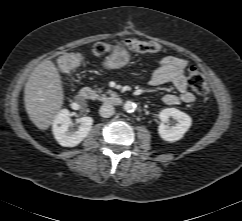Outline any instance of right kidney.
<instances>
[{
  "label": "right kidney",
  "mask_w": 242,
  "mask_h": 221,
  "mask_svg": "<svg viewBox=\"0 0 242 221\" xmlns=\"http://www.w3.org/2000/svg\"><path fill=\"white\" fill-rule=\"evenodd\" d=\"M79 123L77 130L72 131L69 127L72 124L70 113L67 109L59 111L53 120V134L57 142L64 147L77 146L89 134L92 128L93 119L82 117L76 120Z\"/></svg>",
  "instance_id": "right-kidney-1"
}]
</instances>
